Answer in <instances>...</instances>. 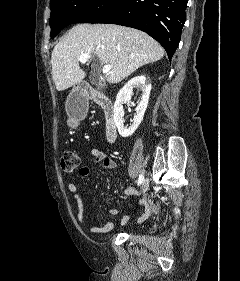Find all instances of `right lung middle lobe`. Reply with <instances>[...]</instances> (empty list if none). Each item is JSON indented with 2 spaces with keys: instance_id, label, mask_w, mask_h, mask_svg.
Here are the masks:
<instances>
[{
  "instance_id": "obj_1",
  "label": "right lung middle lobe",
  "mask_w": 240,
  "mask_h": 281,
  "mask_svg": "<svg viewBox=\"0 0 240 281\" xmlns=\"http://www.w3.org/2000/svg\"><path fill=\"white\" fill-rule=\"evenodd\" d=\"M118 0H51V38L73 23H92Z\"/></svg>"
}]
</instances>
